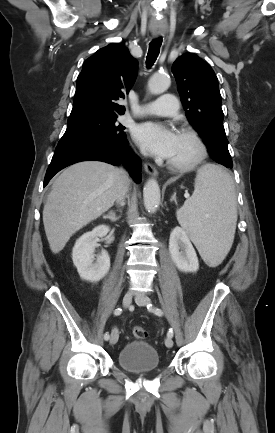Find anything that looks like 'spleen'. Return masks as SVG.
<instances>
[{"label":"spleen","instance_id":"spleen-1","mask_svg":"<svg viewBox=\"0 0 275 433\" xmlns=\"http://www.w3.org/2000/svg\"><path fill=\"white\" fill-rule=\"evenodd\" d=\"M176 214L203 260L211 267L219 265L232 246L237 221L235 188L229 173L217 165L202 166L193 195Z\"/></svg>","mask_w":275,"mask_h":433}]
</instances>
